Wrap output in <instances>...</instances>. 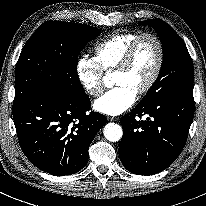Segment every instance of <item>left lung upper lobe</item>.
Segmentation results:
<instances>
[{"label":"left lung upper lobe","instance_id":"5c2ea615","mask_svg":"<svg viewBox=\"0 0 206 206\" xmlns=\"http://www.w3.org/2000/svg\"><path fill=\"white\" fill-rule=\"evenodd\" d=\"M158 33L163 47V63L159 76L139 104H148L176 93H193V62L179 35L161 19L139 22Z\"/></svg>","mask_w":206,"mask_h":206}]
</instances>
